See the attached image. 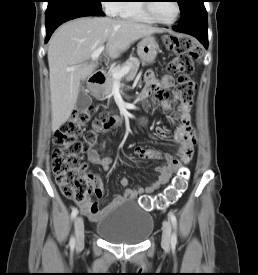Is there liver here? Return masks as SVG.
<instances>
[{"mask_svg":"<svg viewBox=\"0 0 258 275\" xmlns=\"http://www.w3.org/2000/svg\"><path fill=\"white\" fill-rule=\"evenodd\" d=\"M161 31L133 20L109 17H81L59 27L48 46L52 131L71 116L81 81L96 68L89 61L97 48L106 43V54L117 58L135 41ZM69 67L77 69L67 71Z\"/></svg>","mask_w":258,"mask_h":275,"instance_id":"1","label":"liver"}]
</instances>
